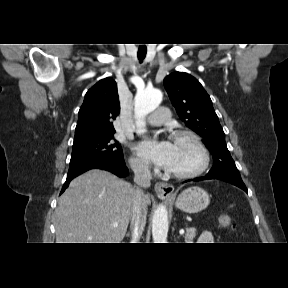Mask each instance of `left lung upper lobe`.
Wrapping results in <instances>:
<instances>
[{"label": "left lung upper lobe", "instance_id": "5c2ea615", "mask_svg": "<svg viewBox=\"0 0 288 288\" xmlns=\"http://www.w3.org/2000/svg\"><path fill=\"white\" fill-rule=\"evenodd\" d=\"M164 86L181 120L203 137L213 156V167L207 175L242 180L210 96L200 82L185 72H174L165 77Z\"/></svg>", "mask_w": 288, "mask_h": 288}]
</instances>
